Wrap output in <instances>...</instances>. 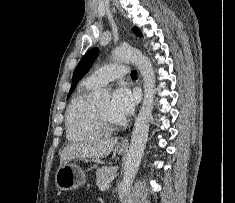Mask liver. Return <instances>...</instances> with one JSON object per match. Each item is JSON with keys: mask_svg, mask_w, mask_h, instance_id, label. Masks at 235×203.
<instances>
[{"mask_svg": "<svg viewBox=\"0 0 235 203\" xmlns=\"http://www.w3.org/2000/svg\"><path fill=\"white\" fill-rule=\"evenodd\" d=\"M117 141V138H111L68 144L61 152L60 166L75 158H105L110 154Z\"/></svg>", "mask_w": 235, "mask_h": 203, "instance_id": "liver-1", "label": "liver"}]
</instances>
